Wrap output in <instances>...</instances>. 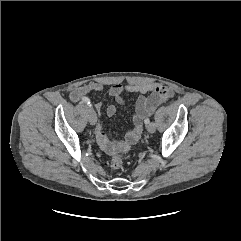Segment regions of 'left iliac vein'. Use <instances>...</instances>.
Returning <instances> with one entry per match:
<instances>
[{
  "label": "left iliac vein",
  "mask_w": 241,
  "mask_h": 241,
  "mask_svg": "<svg viewBox=\"0 0 241 241\" xmlns=\"http://www.w3.org/2000/svg\"><path fill=\"white\" fill-rule=\"evenodd\" d=\"M147 130L149 133H154L156 131V125L154 122H151L147 125Z\"/></svg>",
  "instance_id": "4c4485c4"
}]
</instances>
